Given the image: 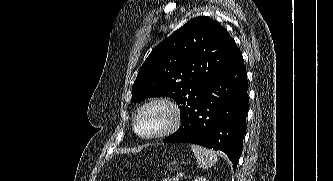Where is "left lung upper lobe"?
Returning a JSON list of instances; mask_svg holds the SVG:
<instances>
[{
  "label": "left lung upper lobe",
  "mask_w": 333,
  "mask_h": 181,
  "mask_svg": "<svg viewBox=\"0 0 333 181\" xmlns=\"http://www.w3.org/2000/svg\"><path fill=\"white\" fill-rule=\"evenodd\" d=\"M239 52L217 21L195 17L153 49L133 84L131 101L168 96L183 115L200 102L208 83Z\"/></svg>",
  "instance_id": "5c2ea615"
}]
</instances>
